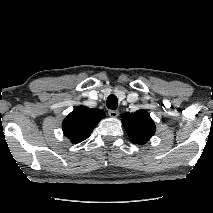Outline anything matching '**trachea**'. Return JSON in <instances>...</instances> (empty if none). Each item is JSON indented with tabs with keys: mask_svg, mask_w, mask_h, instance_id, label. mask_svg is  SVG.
<instances>
[{
	"mask_svg": "<svg viewBox=\"0 0 213 213\" xmlns=\"http://www.w3.org/2000/svg\"><path fill=\"white\" fill-rule=\"evenodd\" d=\"M107 108L111 110H116L118 107V99L115 95L111 94L108 96L106 101Z\"/></svg>",
	"mask_w": 213,
	"mask_h": 213,
	"instance_id": "obj_1",
	"label": "trachea"
}]
</instances>
